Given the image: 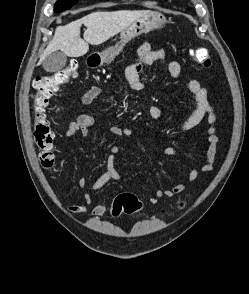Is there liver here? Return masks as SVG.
<instances>
[{"instance_id": "liver-1", "label": "liver", "mask_w": 249, "mask_h": 294, "mask_svg": "<svg viewBox=\"0 0 249 294\" xmlns=\"http://www.w3.org/2000/svg\"><path fill=\"white\" fill-rule=\"evenodd\" d=\"M148 12L146 10L98 11L65 26H58L52 41L40 57L39 63L58 50L69 57L83 56L88 52L89 44L100 45L106 42ZM82 24L87 28L84 31V39L80 37Z\"/></svg>"}]
</instances>
